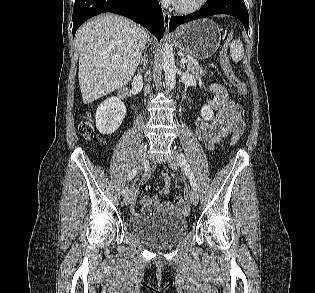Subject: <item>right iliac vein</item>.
Here are the masks:
<instances>
[{
  "label": "right iliac vein",
  "instance_id": "obj_1",
  "mask_svg": "<svg viewBox=\"0 0 315 293\" xmlns=\"http://www.w3.org/2000/svg\"><path fill=\"white\" fill-rule=\"evenodd\" d=\"M147 151V143L143 142L138 150L137 153V158H136V164L138 167H141V165L143 164V161L145 159V154ZM134 200V194L133 191H131L124 199V203L125 205H129L133 202Z\"/></svg>",
  "mask_w": 315,
  "mask_h": 293
}]
</instances>
